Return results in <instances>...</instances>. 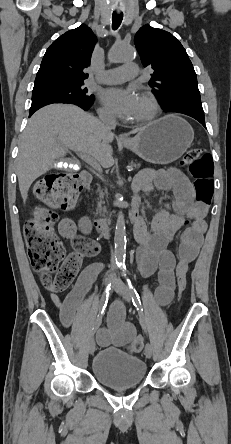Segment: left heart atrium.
<instances>
[{
  "instance_id": "1",
  "label": "left heart atrium",
  "mask_w": 231,
  "mask_h": 444,
  "mask_svg": "<svg viewBox=\"0 0 231 444\" xmlns=\"http://www.w3.org/2000/svg\"><path fill=\"white\" fill-rule=\"evenodd\" d=\"M100 97L109 110L122 118H132L139 99L135 91L119 87L103 90Z\"/></svg>"
}]
</instances>
